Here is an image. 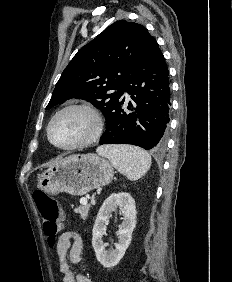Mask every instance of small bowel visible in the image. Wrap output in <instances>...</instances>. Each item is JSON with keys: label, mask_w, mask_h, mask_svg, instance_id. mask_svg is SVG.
<instances>
[{"label": "small bowel", "mask_w": 232, "mask_h": 282, "mask_svg": "<svg viewBox=\"0 0 232 282\" xmlns=\"http://www.w3.org/2000/svg\"><path fill=\"white\" fill-rule=\"evenodd\" d=\"M56 254L63 282H92L84 274L73 271V267L82 261L83 255V241L77 232L65 231L59 236Z\"/></svg>", "instance_id": "small-bowel-1"}]
</instances>
